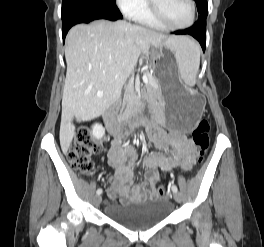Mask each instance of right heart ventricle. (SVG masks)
<instances>
[{
    "label": "right heart ventricle",
    "instance_id": "right-heart-ventricle-1",
    "mask_svg": "<svg viewBox=\"0 0 264 247\" xmlns=\"http://www.w3.org/2000/svg\"><path fill=\"white\" fill-rule=\"evenodd\" d=\"M133 19L145 26L155 28V29H163L164 27L160 25L150 14L148 5L146 4L138 11H136L133 15Z\"/></svg>",
    "mask_w": 264,
    "mask_h": 247
}]
</instances>
